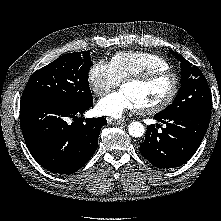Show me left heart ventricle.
Returning <instances> with one entry per match:
<instances>
[{"label":"left heart ventricle","instance_id":"b2bd125f","mask_svg":"<svg viewBox=\"0 0 221 221\" xmlns=\"http://www.w3.org/2000/svg\"><path fill=\"white\" fill-rule=\"evenodd\" d=\"M171 87V79L162 77L147 84L128 83L122 89L131 95L140 108L161 102L170 93Z\"/></svg>","mask_w":221,"mask_h":221}]
</instances>
